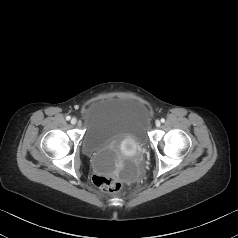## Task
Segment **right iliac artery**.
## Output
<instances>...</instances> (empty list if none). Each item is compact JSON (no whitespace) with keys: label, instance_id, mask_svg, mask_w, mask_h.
<instances>
[{"label":"right iliac artery","instance_id":"right-iliac-artery-1","mask_svg":"<svg viewBox=\"0 0 238 238\" xmlns=\"http://www.w3.org/2000/svg\"><path fill=\"white\" fill-rule=\"evenodd\" d=\"M70 119H71V117H70V116H67V117H66V120H70Z\"/></svg>","mask_w":238,"mask_h":238}]
</instances>
